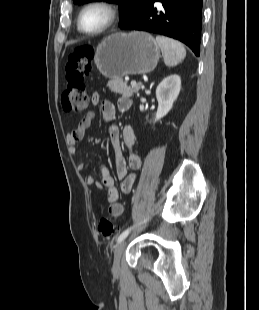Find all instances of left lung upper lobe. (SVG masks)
Wrapping results in <instances>:
<instances>
[{
	"label": "left lung upper lobe",
	"instance_id": "5c2ea615",
	"mask_svg": "<svg viewBox=\"0 0 259 310\" xmlns=\"http://www.w3.org/2000/svg\"><path fill=\"white\" fill-rule=\"evenodd\" d=\"M92 1L118 3L121 12V21L119 26H121L139 15L148 5L150 0H73V2L78 5Z\"/></svg>",
	"mask_w": 259,
	"mask_h": 310
}]
</instances>
